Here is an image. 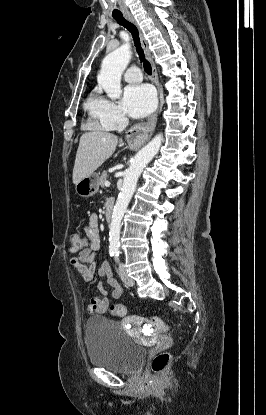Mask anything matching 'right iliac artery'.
I'll return each mask as SVG.
<instances>
[{"label": "right iliac artery", "mask_w": 266, "mask_h": 415, "mask_svg": "<svg viewBox=\"0 0 266 415\" xmlns=\"http://www.w3.org/2000/svg\"><path fill=\"white\" fill-rule=\"evenodd\" d=\"M115 255V252H110V256H114Z\"/></svg>", "instance_id": "1"}]
</instances>
